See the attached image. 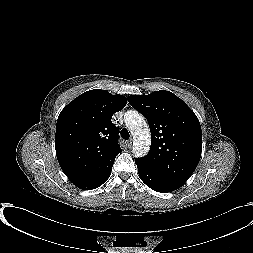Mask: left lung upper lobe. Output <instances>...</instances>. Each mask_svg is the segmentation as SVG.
I'll return each mask as SVG.
<instances>
[{
    "label": "left lung upper lobe",
    "instance_id": "left-lung-upper-lobe-1",
    "mask_svg": "<svg viewBox=\"0 0 253 253\" xmlns=\"http://www.w3.org/2000/svg\"><path fill=\"white\" fill-rule=\"evenodd\" d=\"M128 101L146 117L151 131L150 151L137 159L150 170L183 185L201 157L202 131L198 118L169 91L131 95Z\"/></svg>",
    "mask_w": 253,
    "mask_h": 253
}]
</instances>
